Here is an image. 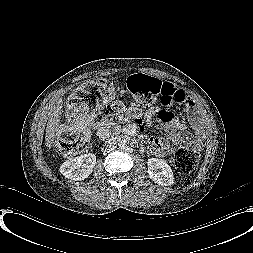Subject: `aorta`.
Segmentation results:
<instances>
[{
    "mask_svg": "<svg viewBox=\"0 0 253 253\" xmlns=\"http://www.w3.org/2000/svg\"><path fill=\"white\" fill-rule=\"evenodd\" d=\"M118 148L121 150V151H124L126 148H127V145L125 142H120L119 145H118Z\"/></svg>",
    "mask_w": 253,
    "mask_h": 253,
    "instance_id": "762f6f07",
    "label": "aorta"
}]
</instances>
